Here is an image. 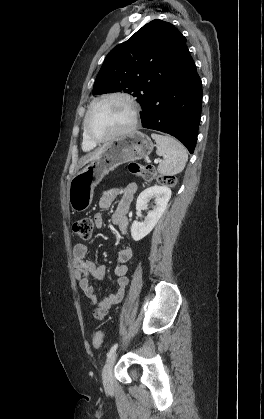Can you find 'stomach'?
Segmentation results:
<instances>
[{
  "mask_svg": "<svg viewBox=\"0 0 264 419\" xmlns=\"http://www.w3.org/2000/svg\"><path fill=\"white\" fill-rule=\"evenodd\" d=\"M151 139L135 131L105 145L103 152L69 182L68 201L75 212L85 211L92 203L94 188L117 166L147 157L153 150Z\"/></svg>",
  "mask_w": 264,
  "mask_h": 419,
  "instance_id": "1",
  "label": "stomach"
}]
</instances>
